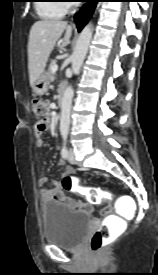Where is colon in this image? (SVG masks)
Segmentation results:
<instances>
[{
	"label": "colon",
	"instance_id": "colon-1",
	"mask_svg": "<svg viewBox=\"0 0 158 275\" xmlns=\"http://www.w3.org/2000/svg\"><path fill=\"white\" fill-rule=\"evenodd\" d=\"M33 112L36 120V129L46 131L48 128L49 107L47 102L41 99L32 101ZM65 192H75L84 195L92 203L108 202L111 195L108 192L94 188H85L80 185L79 179L72 175H65L61 181ZM116 238V231L108 226H102L91 237L90 247L94 252L101 251L108 243Z\"/></svg>",
	"mask_w": 158,
	"mask_h": 275
}]
</instances>
